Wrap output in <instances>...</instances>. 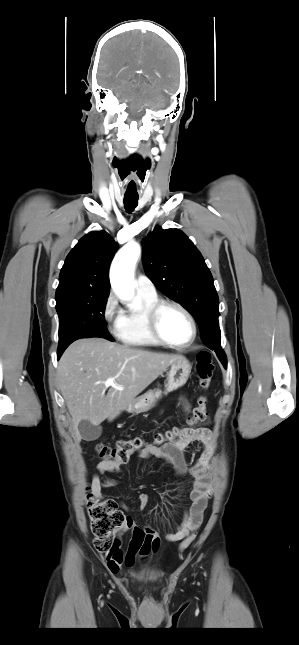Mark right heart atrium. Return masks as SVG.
<instances>
[{
    "instance_id": "right-heart-atrium-1",
    "label": "right heart atrium",
    "mask_w": 299,
    "mask_h": 645,
    "mask_svg": "<svg viewBox=\"0 0 299 645\" xmlns=\"http://www.w3.org/2000/svg\"><path fill=\"white\" fill-rule=\"evenodd\" d=\"M102 317L112 334H117L121 322L118 301L113 293L108 294L102 308Z\"/></svg>"
}]
</instances>
